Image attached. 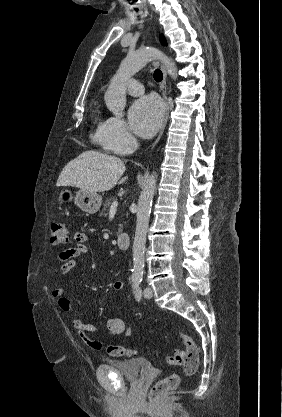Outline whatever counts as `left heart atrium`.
<instances>
[{
    "instance_id": "39dd6f15",
    "label": "left heart atrium",
    "mask_w": 282,
    "mask_h": 417,
    "mask_svg": "<svg viewBox=\"0 0 282 417\" xmlns=\"http://www.w3.org/2000/svg\"><path fill=\"white\" fill-rule=\"evenodd\" d=\"M162 115L163 106L157 97H143L135 102L129 110L130 126L137 134L149 136L159 127Z\"/></svg>"
}]
</instances>
